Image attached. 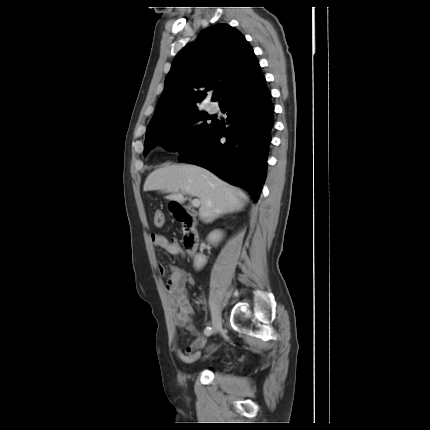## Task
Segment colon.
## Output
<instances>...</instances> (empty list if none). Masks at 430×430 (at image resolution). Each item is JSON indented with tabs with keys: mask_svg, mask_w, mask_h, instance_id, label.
Here are the masks:
<instances>
[{
	"mask_svg": "<svg viewBox=\"0 0 430 430\" xmlns=\"http://www.w3.org/2000/svg\"><path fill=\"white\" fill-rule=\"evenodd\" d=\"M165 222V216L162 210H156L154 213V224L158 227L162 226ZM214 349L213 346L209 347V351Z\"/></svg>",
	"mask_w": 430,
	"mask_h": 430,
	"instance_id": "obj_1",
	"label": "colon"
}]
</instances>
